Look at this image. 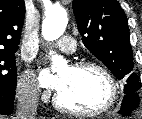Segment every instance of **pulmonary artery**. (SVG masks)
Here are the masks:
<instances>
[{
    "label": "pulmonary artery",
    "instance_id": "obj_1",
    "mask_svg": "<svg viewBox=\"0 0 142 119\" xmlns=\"http://www.w3.org/2000/svg\"><path fill=\"white\" fill-rule=\"evenodd\" d=\"M56 47L66 54H73L76 51L75 41L71 37H62L56 43Z\"/></svg>",
    "mask_w": 142,
    "mask_h": 119
}]
</instances>
